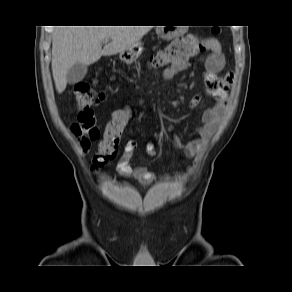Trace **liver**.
<instances>
[{"label": "liver", "instance_id": "liver-1", "mask_svg": "<svg viewBox=\"0 0 292 292\" xmlns=\"http://www.w3.org/2000/svg\"><path fill=\"white\" fill-rule=\"evenodd\" d=\"M150 26H57L52 36V74L58 93L66 75L77 63L91 65L101 56L122 53L136 45ZM107 39L111 42L104 46Z\"/></svg>", "mask_w": 292, "mask_h": 292}]
</instances>
